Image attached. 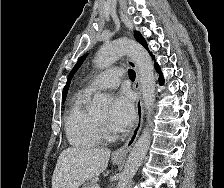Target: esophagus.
<instances>
[{"label":"esophagus","mask_w":224,"mask_h":188,"mask_svg":"<svg viewBox=\"0 0 224 188\" xmlns=\"http://www.w3.org/2000/svg\"><path fill=\"white\" fill-rule=\"evenodd\" d=\"M126 60H127V63L136 72V80L134 83V90L137 93L136 123H135V126H134L130 136L128 137L127 141L125 142V144L113 152V157H126L128 152L131 150L134 143L136 142V140L140 134L142 125H143L144 103H143L142 91H141V86H140V81H139L138 69H137L135 62L130 57L127 56Z\"/></svg>","instance_id":"esophagus-1"}]
</instances>
